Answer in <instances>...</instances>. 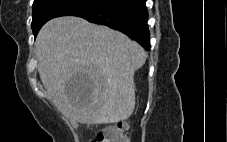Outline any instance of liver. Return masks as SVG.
<instances>
[{"instance_id":"obj_1","label":"liver","mask_w":227,"mask_h":142,"mask_svg":"<svg viewBox=\"0 0 227 142\" xmlns=\"http://www.w3.org/2000/svg\"><path fill=\"white\" fill-rule=\"evenodd\" d=\"M35 51L40 79L67 116L82 124H107L132 115L134 73L147 57L137 42L106 26L67 16L40 29ZM77 73H90V78L67 81Z\"/></svg>"}]
</instances>
